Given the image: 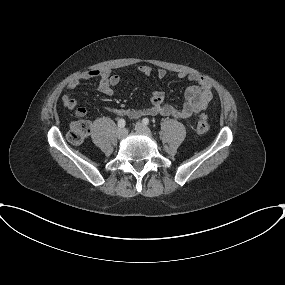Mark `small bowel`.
Here are the masks:
<instances>
[{"instance_id":"small-bowel-1","label":"small bowel","mask_w":285,"mask_h":285,"mask_svg":"<svg viewBox=\"0 0 285 285\" xmlns=\"http://www.w3.org/2000/svg\"><path fill=\"white\" fill-rule=\"evenodd\" d=\"M138 72L142 75L149 76L152 73V68L148 65H141L138 67ZM166 74L164 69H158L156 71V75L159 79H163ZM176 76L179 79H187L192 83L185 91V103L182 106L165 103L164 92L154 91L150 98V105L144 109L108 108V110L118 116H127L129 118L164 115L190 120L193 116L205 110L209 103L212 102L213 88L206 78L199 75L179 72ZM93 78H99L97 90L106 96H113L115 93L114 87L121 81L119 75L112 74L109 70H90L72 78L67 85V90H72L82 82ZM62 101L67 109H76L75 114L77 117H84L86 115L85 108H77V100L69 91L64 93Z\"/></svg>"}]
</instances>
